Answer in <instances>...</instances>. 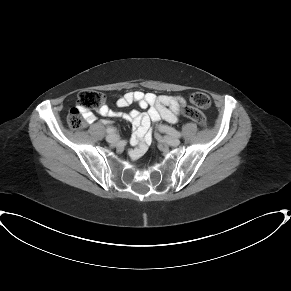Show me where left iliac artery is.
Segmentation results:
<instances>
[{
  "mask_svg": "<svg viewBox=\"0 0 291 291\" xmlns=\"http://www.w3.org/2000/svg\"><path fill=\"white\" fill-rule=\"evenodd\" d=\"M166 131L172 136H175L177 138L181 137V133L172 127H166Z\"/></svg>",
  "mask_w": 291,
  "mask_h": 291,
  "instance_id": "left-iliac-artery-1",
  "label": "left iliac artery"
}]
</instances>
